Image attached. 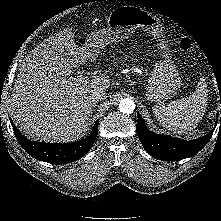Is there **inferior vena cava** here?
Returning a JSON list of instances; mask_svg holds the SVG:
<instances>
[{"instance_id":"602c4592","label":"inferior vena cava","mask_w":221,"mask_h":221,"mask_svg":"<svg viewBox=\"0 0 221 221\" xmlns=\"http://www.w3.org/2000/svg\"><path fill=\"white\" fill-rule=\"evenodd\" d=\"M106 98V92L101 89H95L90 94V100L93 103H97L99 101H103Z\"/></svg>"}]
</instances>
